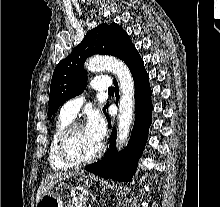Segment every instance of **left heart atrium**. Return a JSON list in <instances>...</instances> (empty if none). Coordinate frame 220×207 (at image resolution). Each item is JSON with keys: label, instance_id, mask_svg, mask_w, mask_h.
I'll return each mask as SVG.
<instances>
[{"label": "left heart atrium", "instance_id": "39dd6f15", "mask_svg": "<svg viewBox=\"0 0 220 207\" xmlns=\"http://www.w3.org/2000/svg\"><path fill=\"white\" fill-rule=\"evenodd\" d=\"M85 130L94 140L101 144L106 135V123L100 113L94 111L89 114Z\"/></svg>", "mask_w": 220, "mask_h": 207}]
</instances>
